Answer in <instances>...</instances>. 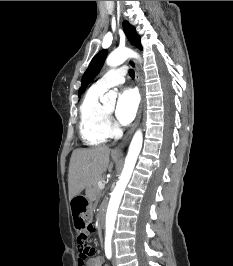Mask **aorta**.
I'll return each mask as SVG.
<instances>
[{
    "label": "aorta",
    "instance_id": "1",
    "mask_svg": "<svg viewBox=\"0 0 233 266\" xmlns=\"http://www.w3.org/2000/svg\"><path fill=\"white\" fill-rule=\"evenodd\" d=\"M137 58L140 56L128 48H118L114 50L106 59V63L109 66H119L124 63L128 58ZM117 94L115 91H109L102 99V103L111 102L112 104L116 101ZM143 143V134L139 129L134 134L132 141L129 146V150L125 159V164L121 176L111 194V198L108 204L106 213V238L111 239L115 227V221L119 204L121 202L124 190L131 178L133 169L135 167L138 155L141 151Z\"/></svg>",
    "mask_w": 233,
    "mask_h": 266
}]
</instances>
